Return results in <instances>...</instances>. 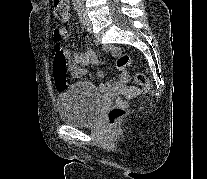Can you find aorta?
Instances as JSON below:
<instances>
[{"label": "aorta", "instance_id": "1", "mask_svg": "<svg viewBox=\"0 0 207 179\" xmlns=\"http://www.w3.org/2000/svg\"><path fill=\"white\" fill-rule=\"evenodd\" d=\"M72 2L74 3V5H81L83 4L84 0H72Z\"/></svg>", "mask_w": 207, "mask_h": 179}]
</instances>
